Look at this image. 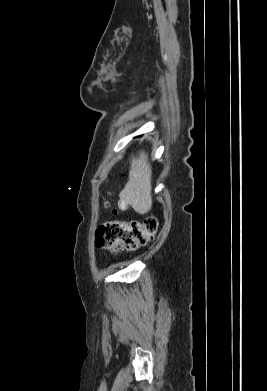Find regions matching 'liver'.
I'll return each instance as SVG.
<instances>
[{
    "label": "liver",
    "instance_id": "1",
    "mask_svg": "<svg viewBox=\"0 0 267 391\" xmlns=\"http://www.w3.org/2000/svg\"><path fill=\"white\" fill-rule=\"evenodd\" d=\"M129 179L120 192V205H130L139 214H146L152 208L151 166L145 152L130 161Z\"/></svg>",
    "mask_w": 267,
    "mask_h": 391
}]
</instances>
